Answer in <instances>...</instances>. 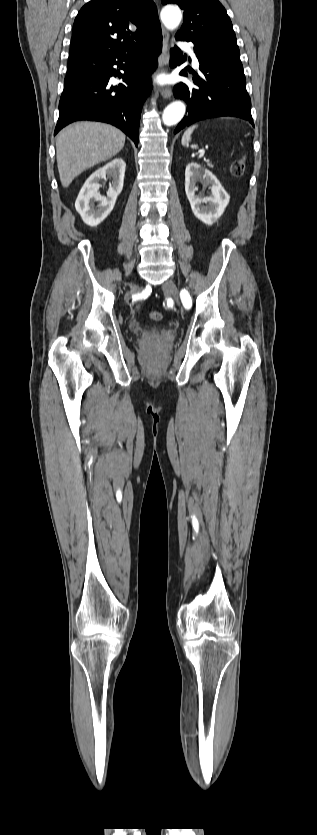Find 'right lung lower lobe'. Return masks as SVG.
<instances>
[{
    "label": "right lung lower lobe",
    "instance_id": "obj_1",
    "mask_svg": "<svg viewBox=\"0 0 317 835\" xmlns=\"http://www.w3.org/2000/svg\"><path fill=\"white\" fill-rule=\"evenodd\" d=\"M161 47L162 33L158 29L152 37L118 53L70 54L66 77L81 73L86 76L65 82L54 135L75 121H100L120 128L137 146L141 110L149 95L150 74L157 67ZM113 65L121 67L124 74ZM112 76L123 78V83L111 87L108 82Z\"/></svg>",
    "mask_w": 317,
    "mask_h": 835
}]
</instances>
